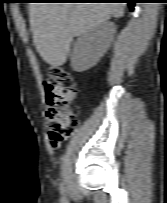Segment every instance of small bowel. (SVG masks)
Wrapping results in <instances>:
<instances>
[{"mask_svg": "<svg viewBox=\"0 0 167 203\" xmlns=\"http://www.w3.org/2000/svg\"><path fill=\"white\" fill-rule=\"evenodd\" d=\"M61 143H58L57 145H55L54 147H59Z\"/></svg>", "mask_w": 167, "mask_h": 203, "instance_id": "obj_1", "label": "small bowel"}]
</instances>
